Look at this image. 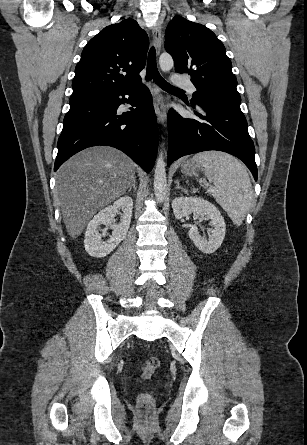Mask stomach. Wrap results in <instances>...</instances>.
Returning <instances> with one entry per match:
<instances>
[{
  "label": "stomach",
  "mask_w": 307,
  "mask_h": 445,
  "mask_svg": "<svg viewBox=\"0 0 307 445\" xmlns=\"http://www.w3.org/2000/svg\"><path fill=\"white\" fill-rule=\"evenodd\" d=\"M201 164L199 162H196V160H187L185 164H182V170L185 172V174H189V176H192V174H198V170H200Z\"/></svg>",
  "instance_id": "stomach-1"
}]
</instances>
